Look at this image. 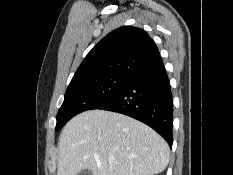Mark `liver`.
Masks as SVG:
<instances>
[{
  "label": "liver",
  "mask_w": 233,
  "mask_h": 175,
  "mask_svg": "<svg viewBox=\"0 0 233 175\" xmlns=\"http://www.w3.org/2000/svg\"><path fill=\"white\" fill-rule=\"evenodd\" d=\"M166 141L129 116L89 110L72 118L59 137L57 175H156L169 162Z\"/></svg>",
  "instance_id": "obj_1"
}]
</instances>
